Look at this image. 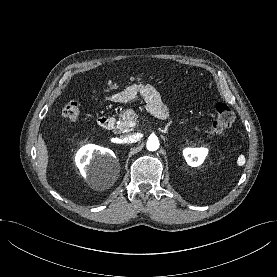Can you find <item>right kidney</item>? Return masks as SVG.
Returning a JSON list of instances; mask_svg holds the SVG:
<instances>
[{
  "instance_id": "1",
  "label": "right kidney",
  "mask_w": 277,
  "mask_h": 277,
  "mask_svg": "<svg viewBox=\"0 0 277 277\" xmlns=\"http://www.w3.org/2000/svg\"><path fill=\"white\" fill-rule=\"evenodd\" d=\"M94 160L102 163L115 162V155L111 150L96 145L90 144L81 148L75 161L84 177L92 176Z\"/></svg>"
}]
</instances>
